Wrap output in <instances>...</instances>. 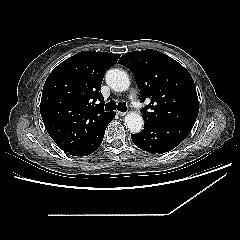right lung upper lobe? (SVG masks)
I'll list each match as a JSON object with an SVG mask.
<instances>
[{
  "label": "right lung upper lobe",
  "instance_id": "cb5924a9",
  "mask_svg": "<svg viewBox=\"0 0 240 240\" xmlns=\"http://www.w3.org/2000/svg\"><path fill=\"white\" fill-rule=\"evenodd\" d=\"M120 54L82 51L60 63L43 86L41 117L50 137L66 152L91 141L112 112L100 92L105 72Z\"/></svg>",
  "mask_w": 240,
  "mask_h": 240
}]
</instances>
